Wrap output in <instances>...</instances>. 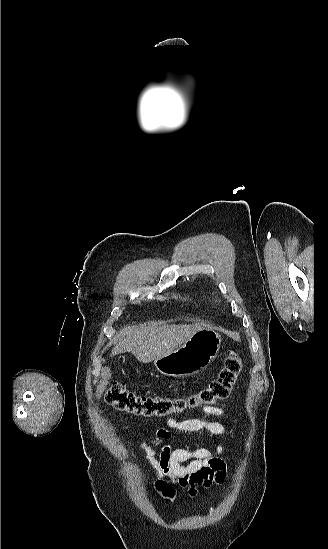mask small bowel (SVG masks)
I'll return each instance as SVG.
<instances>
[{
  "label": "small bowel",
  "instance_id": "obj_1",
  "mask_svg": "<svg viewBox=\"0 0 328 549\" xmlns=\"http://www.w3.org/2000/svg\"><path fill=\"white\" fill-rule=\"evenodd\" d=\"M201 411L211 416L223 417L226 414V405L204 406ZM167 426L168 429H158L152 437L140 444L142 457L155 475L189 487L191 493L197 487L221 483L226 475V463L221 458L223 443H219L212 450L204 447L173 449L166 440L171 437V430L189 433L206 431L212 435L224 436L225 426L218 421L200 418L176 420L173 417L167 418Z\"/></svg>",
  "mask_w": 328,
  "mask_h": 549
}]
</instances>
